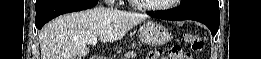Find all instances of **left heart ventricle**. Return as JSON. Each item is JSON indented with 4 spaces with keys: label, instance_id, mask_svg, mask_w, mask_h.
<instances>
[{
    "label": "left heart ventricle",
    "instance_id": "1",
    "mask_svg": "<svg viewBox=\"0 0 261 59\" xmlns=\"http://www.w3.org/2000/svg\"><path fill=\"white\" fill-rule=\"evenodd\" d=\"M170 0H151L146 1L147 4H153V5H163L169 3Z\"/></svg>",
    "mask_w": 261,
    "mask_h": 59
}]
</instances>
